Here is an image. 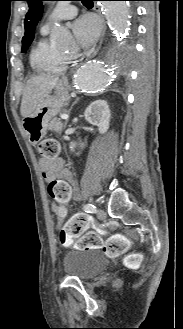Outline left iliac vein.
Masks as SVG:
<instances>
[{
	"label": "left iliac vein",
	"instance_id": "4c4485c4",
	"mask_svg": "<svg viewBox=\"0 0 183 329\" xmlns=\"http://www.w3.org/2000/svg\"><path fill=\"white\" fill-rule=\"evenodd\" d=\"M96 215L99 220H103L105 218V212L102 209H98L96 211Z\"/></svg>",
	"mask_w": 183,
	"mask_h": 329
}]
</instances>
